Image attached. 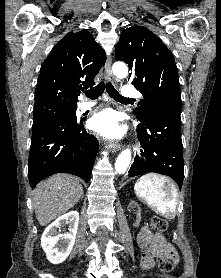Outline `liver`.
<instances>
[{
  "mask_svg": "<svg viewBox=\"0 0 221 278\" xmlns=\"http://www.w3.org/2000/svg\"><path fill=\"white\" fill-rule=\"evenodd\" d=\"M83 194L78 179L56 174L39 183L33 191V208L41 226L49 224L74 207Z\"/></svg>",
  "mask_w": 221,
  "mask_h": 278,
  "instance_id": "6515ba94",
  "label": "liver"
}]
</instances>
